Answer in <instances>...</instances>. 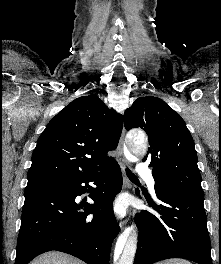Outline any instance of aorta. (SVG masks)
Instances as JSON below:
<instances>
[{"instance_id": "1", "label": "aorta", "mask_w": 221, "mask_h": 264, "mask_svg": "<svg viewBox=\"0 0 221 264\" xmlns=\"http://www.w3.org/2000/svg\"><path fill=\"white\" fill-rule=\"evenodd\" d=\"M127 145L129 151L136 156H144L147 152V138L144 134L130 135ZM137 237V229L131 227L118 238L114 252V264H133Z\"/></svg>"}]
</instances>
